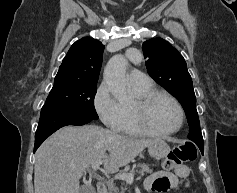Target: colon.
<instances>
[{"instance_id":"colon-1","label":"colon","mask_w":237,"mask_h":193,"mask_svg":"<svg viewBox=\"0 0 237 193\" xmlns=\"http://www.w3.org/2000/svg\"><path fill=\"white\" fill-rule=\"evenodd\" d=\"M197 150L194 144L187 142L172 149L167 158L163 161L162 167L166 171H172L187 162L195 160Z\"/></svg>"}]
</instances>
